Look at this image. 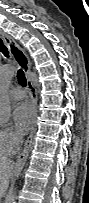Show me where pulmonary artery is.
Returning <instances> with one entry per match:
<instances>
[{
    "label": "pulmonary artery",
    "instance_id": "pulmonary-artery-1",
    "mask_svg": "<svg viewBox=\"0 0 89 203\" xmlns=\"http://www.w3.org/2000/svg\"><path fill=\"white\" fill-rule=\"evenodd\" d=\"M9 94L13 99L16 100H20L25 97V92L22 89H12Z\"/></svg>",
    "mask_w": 89,
    "mask_h": 203
}]
</instances>
